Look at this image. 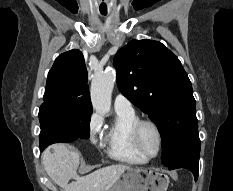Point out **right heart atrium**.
<instances>
[{
    "label": "right heart atrium",
    "mask_w": 233,
    "mask_h": 191,
    "mask_svg": "<svg viewBox=\"0 0 233 191\" xmlns=\"http://www.w3.org/2000/svg\"><path fill=\"white\" fill-rule=\"evenodd\" d=\"M102 130V119L99 115L93 114L88 123L89 139L92 143L98 144Z\"/></svg>",
    "instance_id": "1"
}]
</instances>
